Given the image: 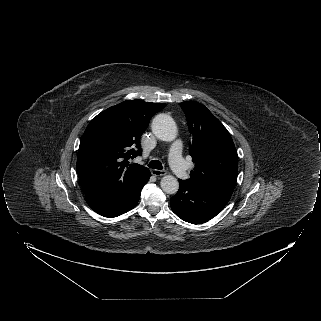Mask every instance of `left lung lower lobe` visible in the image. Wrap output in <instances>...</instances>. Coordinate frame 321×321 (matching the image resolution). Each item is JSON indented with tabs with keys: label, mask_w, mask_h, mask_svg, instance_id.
Returning <instances> with one entry per match:
<instances>
[{
	"label": "left lung lower lobe",
	"mask_w": 321,
	"mask_h": 321,
	"mask_svg": "<svg viewBox=\"0 0 321 321\" xmlns=\"http://www.w3.org/2000/svg\"><path fill=\"white\" fill-rule=\"evenodd\" d=\"M179 191L170 199L173 212L182 220L204 223L215 217L228 203L233 190L193 185L179 180Z\"/></svg>",
	"instance_id": "0a47b994"
}]
</instances>
